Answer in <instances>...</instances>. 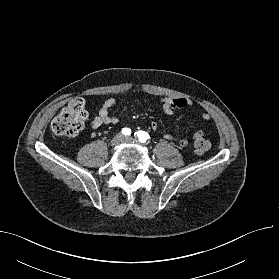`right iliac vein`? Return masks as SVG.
<instances>
[{"mask_svg": "<svg viewBox=\"0 0 279 279\" xmlns=\"http://www.w3.org/2000/svg\"><path fill=\"white\" fill-rule=\"evenodd\" d=\"M123 135L122 134H117L116 136H114L113 138H112V140H111V142H110V145L111 146H117V145H119L120 144V142H122L123 141Z\"/></svg>", "mask_w": 279, "mask_h": 279, "instance_id": "63e3f726", "label": "right iliac vein"}]
</instances>
